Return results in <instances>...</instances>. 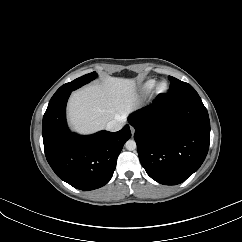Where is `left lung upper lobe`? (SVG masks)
Wrapping results in <instances>:
<instances>
[{
	"mask_svg": "<svg viewBox=\"0 0 242 242\" xmlns=\"http://www.w3.org/2000/svg\"><path fill=\"white\" fill-rule=\"evenodd\" d=\"M171 84H170V90L168 94L169 96H180V95H186V94H196L197 92L195 89L189 85L186 82H182L172 76L168 77Z\"/></svg>",
	"mask_w": 242,
	"mask_h": 242,
	"instance_id": "5c2ea615",
	"label": "left lung upper lobe"
}]
</instances>
